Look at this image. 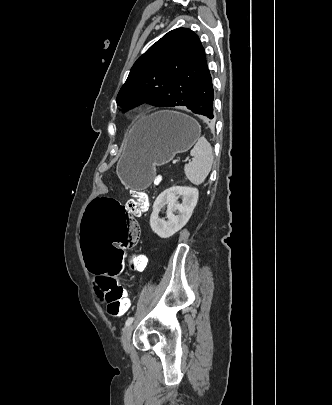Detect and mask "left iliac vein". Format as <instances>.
<instances>
[{"mask_svg": "<svg viewBox=\"0 0 332 405\" xmlns=\"http://www.w3.org/2000/svg\"><path fill=\"white\" fill-rule=\"evenodd\" d=\"M134 326L129 325L127 328L124 330L122 334V345L125 350V352L129 353L131 349V335L133 331Z\"/></svg>", "mask_w": 332, "mask_h": 405, "instance_id": "1", "label": "left iliac vein"}]
</instances>
